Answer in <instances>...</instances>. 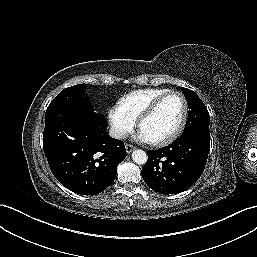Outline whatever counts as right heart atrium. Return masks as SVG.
I'll return each mask as SVG.
<instances>
[{
  "instance_id": "d8ad5b80",
  "label": "right heart atrium",
  "mask_w": 257,
  "mask_h": 257,
  "mask_svg": "<svg viewBox=\"0 0 257 257\" xmlns=\"http://www.w3.org/2000/svg\"><path fill=\"white\" fill-rule=\"evenodd\" d=\"M108 120L112 135L117 139H124L135 127V120L117 102L108 110Z\"/></svg>"
}]
</instances>
